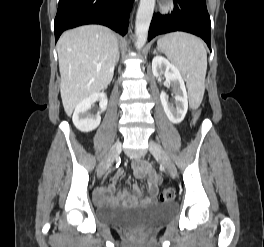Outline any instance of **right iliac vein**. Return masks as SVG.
Listing matches in <instances>:
<instances>
[{"label": "right iliac vein", "instance_id": "63e3f726", "mask_svg": "<svg viewBox=\"0 0 264 247\" xmlns=\"http://www.w3.org/2000/svg\"><path fill=\"white\" fill-rule=\"evenodd\" d=\"M121 149L122 145L120 142H117L112 146V148L110 149V151L99 166L98 176H102L109 169L114 159L117 158V156L121 152Z\"/></svg>", "mask_w": 264, "mask_h": 247}]
</instances>
